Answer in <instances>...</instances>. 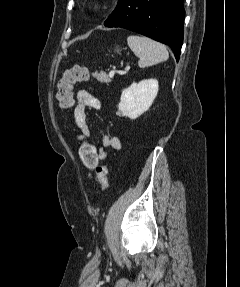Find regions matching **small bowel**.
Masks as SVG:
<instances>
[{
	"mask_svg": "<svg viewBox=\"0 0 240 287\" xmlns=\"http://www.w3.org/2000/svg\"><path fill=\"white\" fill-rule=\"evenodd\" d=\"M101 107L100 101L92 93L87 90H80L77 93V105L73 112V119L76 127L80 130L84 137L90 136V127L87 122V109L99 110ZM121 149V141L117 136L103 135L102 142L97 147L99 160H105L108 157V149Z\"/></svg>",
	"mask_w": 240,
	"mask_h": 287,
	"instance_id": "obj_1",
	"label": "small bowel"
}]
</instances>
